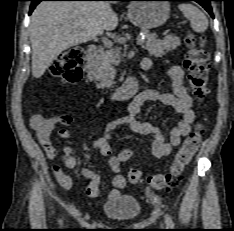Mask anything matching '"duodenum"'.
Instances as JSON below:
<instances>
[{
	"label": "duodenum",
	"mask_w": 234,
	"mask_h": 231,
	"mask_svg": "<svg viewBox=\"0 0 234 231\" xmlns=\"http://www.w3.org/2000/svg\"><path fill=\"white\" fill-rule=\"evenodd\" d=\"M97 46L95 44H90L87 49L85 56L87 59H92L97 53ZM143 62V61H142ZM141 70H147L150 68L149 64H142L140 66ZM139 85V78L137 76L130 77L122 86L114 90L109 99L111 101H125L130 99L136 93Z\"/></svg>",
	"instance_id": "obj_1"
}]
</instances>
